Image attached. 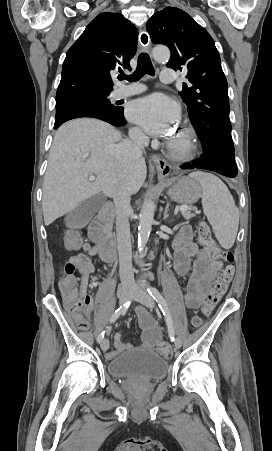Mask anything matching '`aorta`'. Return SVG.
<instances>
[{"label": "aorta", "instance_id": "aorta-1", "mask_svg": "<svg viewBox=\"0 0 272 451\" xmlns=\"http://www.w3.org/2000/svg\"><path fill=\"white\" fill-rule=\"evenodd\" d=\"M152 56L154 60L157 62H163V60H169L170 52L166 46H162V48H153ZM154 210L155 204L152 200H145L141 212H140V220H139V233H138V245L139 247H145L149 233L151 231V227L154 220Z\"/></svg>", "mask_w": 272, "mask_h": 451}]
</instances>
